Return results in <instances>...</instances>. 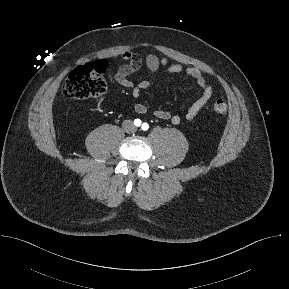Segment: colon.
Masks as SVG:
<instances>
[{"mask_svg": "<svg viewBox=\"0 0 289 289\" xmlns=\"http://www.w3.org/2000/svg\"><path fill=\"white\" fill-rule=\"evenodd\" d=\"M106 62L88 63L73 70L63 83V93L66 97L82 100L97 97L106 90ZM213 108L218 114H226L227 104L224 100L215 101Z\"/></svg>", "mask_w": 289, "mask_h": 289, "instance_id": "obj_1", "label": "colon"}]
</instances>
